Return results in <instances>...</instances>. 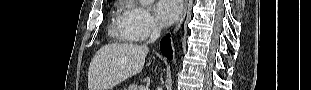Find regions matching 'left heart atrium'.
Masks as SVG:
<instances>
[{
  "instance_id": "1",
  "label": "left heart atrium",
  "mask_w": 311,
  "mask_h": 90,
  "mask_svg": "<svg viewBox=\"0 0 311 90\" xmlns=\"http://www.w3.org/2000/svg\"><path fill=\"white\" fill-rule=\"evenodd\" d=\"M182 5L179 0H161L156 6V15L163 26L174 23L179 17Z\"/></svg>"
}]
</instances>
